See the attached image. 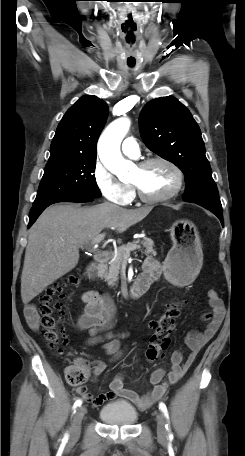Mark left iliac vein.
<instances>
[{
  "mask_svg": "<svg viewBox=\"0 0 245 456\" xmlns=\"http://www.w3.org/2000/svg\"><path fill=\"white\" fill-rule=\"evenodd\" d=\"M156 421H157V436L160 441H165L167 439V430H166V421H165L163 413H161V412L156 413Z\"/></svg>",
  "mask_w": 245,
  "mask_h": 456,
  "instance_id": "obj_1",
  "label": "left iliac vein"
}]
</instances>
